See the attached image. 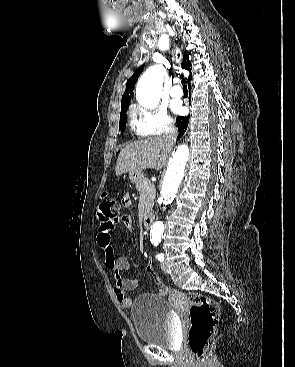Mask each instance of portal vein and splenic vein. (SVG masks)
Instances as JSON below:
<instances>
[{"label": "portal vein and splenic vein", "instance_id": "18ae733b", "mask_svg": "<svg viewBox=\"0 0 295 367\" xmlns=\"http://www.w3.org/2000/svg\"><path fill=\"white\" fill-rule=\"evenodd\" d=\"M147 190H151V187H147Z\"/></svg>", "mask_w": 295, "mask_h": 367}]
</instances>
